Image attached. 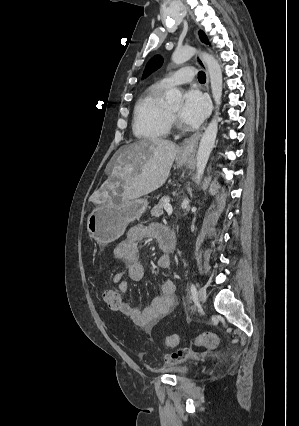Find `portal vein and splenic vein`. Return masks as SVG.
<instances>
[{
    "label": "portal vein and splenic vein",
    "mask_w": 299,
    "mask_h": 426,
    "mask_svg": "<svg viewBox=\"0 0 299 426\" xmlns=\"http://www.w3.org/2000/svg\"><path fill=\"white\" fill-rule=\"evenodd\" d=\"M164 208L168 214L172 213V206L168 202H166V204L164 205Z\"/></svg>",
    "instance_id": "obj_1"
}]
</instances>
